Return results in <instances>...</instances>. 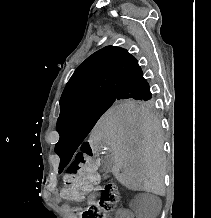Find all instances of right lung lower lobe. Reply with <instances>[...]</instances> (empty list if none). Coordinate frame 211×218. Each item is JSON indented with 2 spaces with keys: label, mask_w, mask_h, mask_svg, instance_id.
Wrapping results in <instances>:
<instances>
[{
  "label": "right lung lower lobe",
  "mask_w": 211,
  "mask_h": 218,
  "mask_svg": "<svg viewBox=\"0 0 211 218\" xmlns=\"http://www.w3.org/2000/svg\"><path fill=\"white\" fill-rule=\"evenodd\" d=\"M120 97H152L150 86L143 77V72L140 69L122 88Z\"/></svg>",
  "instance_id": "1"
}]
</instances>
